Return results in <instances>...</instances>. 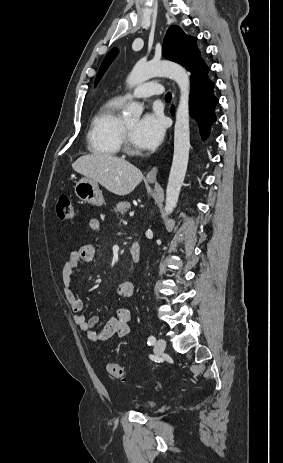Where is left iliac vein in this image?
<instances>
[{"mask_svg": "<svg viewBox=\"0 0 283 463\" xmlns=\"http://www.w3.org/2000/svg\"><path fill=\"white\" fill-rule=\"evenodd\" d=\"M166 348V341L163 338H159L154 346V351L156 355H161Z\"/></svg>", "mask_w": 283, "mask_h": 463, "instance_id": "4c4485c4", "label": "left iliac vein"}]
</instances>
